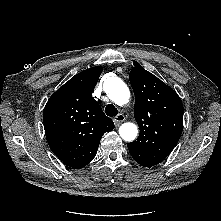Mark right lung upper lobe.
Here are the masks:
<instances>
[{
  "label": "right lung upper lobe",
  "mask_w": 221,
  "mask_h": 221,
  "mask_svg": "<svg viewBox=\"0 0 221 221\" xmlns=\"http://www.w3.org/2000/svg\"><path fill=\"white\" fill-rule=\"evenodd\" d=\"M102 70L97 66L76 74L44 108V129L52 152L75 169L94 159L103 134L114 129L113 121L92 97Z\"/></svg>",
  "instance_id": "obj_1"
}]
</instances>
